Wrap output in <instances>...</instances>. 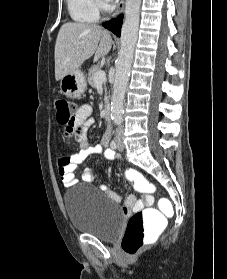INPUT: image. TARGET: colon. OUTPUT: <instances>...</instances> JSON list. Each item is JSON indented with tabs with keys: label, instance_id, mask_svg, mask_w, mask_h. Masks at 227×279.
<instances>
[{
	"label": "colon",
	"instance_id": "5ec220e1",
	"mask_svg": "<svg viewBox=\"0 0 227 279\" xmlns=\"http://www.w3.org/2000/svg\"><path fill=\"white\" fill-rule=\"evenodd\" d=\"M56 119L59 125L64 127L63 143L68 142L69 131H71L75 120V104L64 97L55 102ZM80 130V127L76 128ZM129 179L133 181L136 189L142 191L145 196L150 195L156 189L155 185L146 180L136 170L129 173ZM166 214L160 210L148 208L135 212L129 219L127 229L122 240V249L128 255L137 254L147 238L154 237L163 230L166 224Z\"/></svg>",
	"mask_w": 227,
	"mask_h": 279
}]
</instances>
